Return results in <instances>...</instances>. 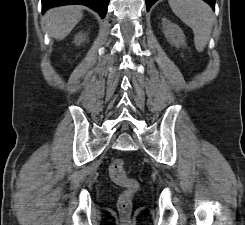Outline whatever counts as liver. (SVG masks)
I'll return each mask as SVG.
<instances>
[{
    "instance_id": "liver-1",
    "label": "liver",
    "mask_w": 245,
    "mask_h": 225,
    "mask_svg": "<svg viewBox=\"0 0 245 225\" xmlns=\"http://www.w3.org/2000/svg\"><path fill=\"white\" fill-rule=\"evenodd\" d=\"M80 6H62L49 9L44 17L45 28L51 37L63 40L82 19Z\"/></svg>"
}]
</instances>
